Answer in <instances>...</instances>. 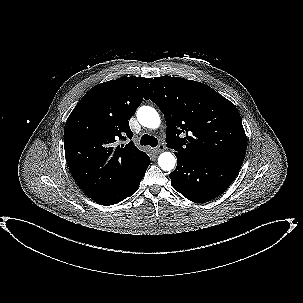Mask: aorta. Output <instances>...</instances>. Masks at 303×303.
Masks as SVG:
<instances>
[{"label":"aorta","mask_w":303,"mask_h":303,"mask_svg":"<svg viewBox=\"0 0 303 303\" xmlns=\"http://www.w3.org/2000/svg\"><path fill=\"white\" fill-rule=\"evenodd\" d=\"M139 123L147 128L156 129L160 126L161 119L158 112L150 106H142L136 113ZM176 163L175 156L170 152H163L158 157V165L164 171L174 169Z\"/></svg>","instance_id":"obj_1"}]
</instances>
